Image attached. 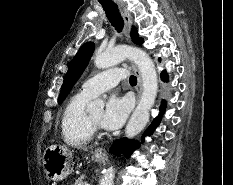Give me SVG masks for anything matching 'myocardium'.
<instances>
[{
	"instance_id": "1",
	"label": "myocardium",
	"mask_w": 233,
	"mask_h": 185,
	"mask_svg": "<svg viewBox=\"0 0 233 185\" xmlns=\"http://www.w3.org/2000/svg\"><path fill=\"white\" fill-rule=\"evenodd\" d=\"M88 122L90 124L91 129L94 131H99L100 127H99V123H97L96 121H94L90 115H88Z\"/></svg>"
}]
</instances>
